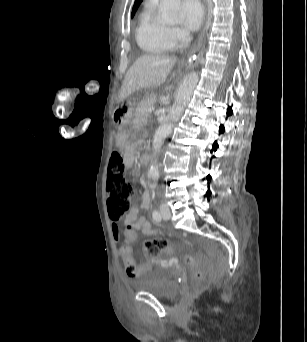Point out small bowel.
<instances>
[{"label":"small bowel","instance_id":"obj_1","mask_svg":"<svg viewBox=\"0 0 307 342\" xmlns=\"http://www.w3.org/2000/svg\"><path fill=\"white\" fill-rule=\"evenodd\" d=\"M132 161L131 157H127V166H131ZM149 195L147 192H144L143 194V200L141 203L140 208L146 209L149 206ZM139 209L132 208L131 211L128 213L126 219H125V225H139V229H142V232L146 233L147 236L154 235L156 233L155 229L152 228L151 224L143 217L137 218ZM113 237L117 241L120 239V228L118 225H113L112 228Z\"/></svg>","mask_w":307,"mask_h":342}]
</instances>
